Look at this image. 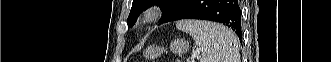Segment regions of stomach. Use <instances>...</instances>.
Returning <instances> with one entry per match:
<instances>
[{
    "label": "stomach",
    "instance_id": "obj_1",
    "mask_svg": "<svg viewBox=\"0 0 331 62\" xmlns=\"http://www.w3.org/2000/svg\"><path fill=\"white\" fill-rule=\"evenodd\" d=\"M189 49V44L183 39H176L170 43V50L175 55H183ZM164 49L159 46H149L146 49V57L150 59H155L163 53Z\"/></svg>",
    "mask_w": 331,
    "mask_h": 62
}]
</instances>
